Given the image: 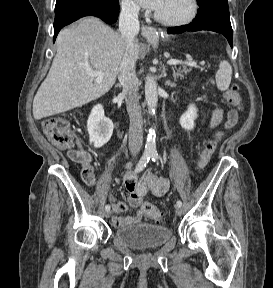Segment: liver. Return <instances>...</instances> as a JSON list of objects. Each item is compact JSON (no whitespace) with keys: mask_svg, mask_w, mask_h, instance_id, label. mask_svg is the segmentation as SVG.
<instances>
[{"mask_svg":"<svg viewBox=\"0 0 273 288\" xmlns=\"http://www.w3.org/2000/svg\"><path fill=\"white\" fill-rule=\"evenodd\" d=\"M56 47L49 73L33 100L36 120L83 106L106 94L119 74L126 42L100 19L85 17L60 31ZM139 54L136 40L135 61ZM91 71L103 72L102 81L96 82L95 77L89 76Z\"/></svg>","mask_w":273,"mask_h":288,"instance_id":"1","label":"liver"}]
</instances>
